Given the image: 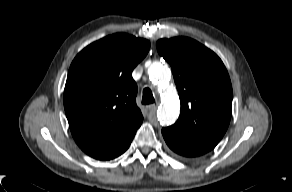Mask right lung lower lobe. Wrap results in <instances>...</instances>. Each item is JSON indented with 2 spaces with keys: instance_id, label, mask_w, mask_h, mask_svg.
I'll use <instances>...</instances> for the list:
<instances>
[{
  "instance_id": "right-lung-lower-lobe-1",
  "label": "right lung lower lobe",
  "mask_w": 292,
  "mask_h": 192,
  "mask_svg": "<svg viewBox=\"0 0 292 192\" xmlns=\"http://www.w3.org/2000/svg\"><path fill=\"white\" fill-rule=\"evenodd\" d=\"M139 127L131 132L109 140L89 141L83 140L77 142L78 146L89 156L98 160H110L124 153Z\"/></svg>"
}]
</instances>
